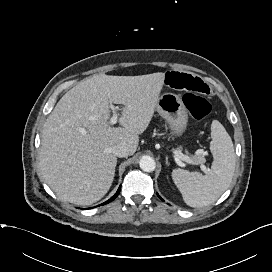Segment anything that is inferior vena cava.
Instances as JSON below:
<instances>
[{"mask_svg":"<svg viewBox=\"0 0 272 272\" xmlns=\"http://www.w3.org/2000/svg\"><path fill=\"white\" fill-rule=\"evenodd\" d=\"M113 154H115L117 157H126L129 155V148L126 144H118L113 147L112 149Z\"/></svg>","mask_w":272,"mask_h":272,"instance_id":"602c4592","label":"inferior vena cava"}]
</instances>
